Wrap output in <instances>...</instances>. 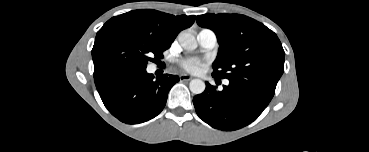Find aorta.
<instances>
[{"instance_id":"762f6f07","label":"aorta","mask_w":369,"mask_h":152,"mask_svg":"<svg viewBox=\"0 0 369 152\" xmlns=\"http://www.w3.org/2000/svg\"><path fill=\"white\" fill-rule=\"evenodd\" d=\"M178 41L185 50L191 51L197 48L195 36L189 32H180L178 35ZM189 88L193 94L197 95L204 92L206 85L200 79H193L189 83Z\"/></svg>"}]
</instances>
